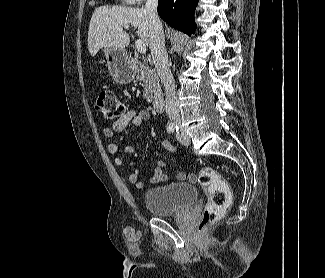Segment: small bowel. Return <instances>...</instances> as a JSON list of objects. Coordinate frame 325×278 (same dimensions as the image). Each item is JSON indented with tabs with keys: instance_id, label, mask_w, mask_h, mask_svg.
<instances>
[{
	"instance_id": "1",
	"label": "small bowel",
	"mask_w": 325,
	"mask_h": 278,
	"mask_svg": "<svg viewBox=\"0 0 325 278\" xmlns=\"http://www.w3.org/2000/svg\"><path fill=\"white\" fill-rule=\"evenodd\" d=\"M150 119V113L147 110H129L123 117L118 119L111 128H104L103 135L106 138H113L115 135L123 134L129 124L134 126H139L142 123ZM164 147L176 151V149L167 143H164ZM108 152L114 155L113 162L117 166H122L124 163L123 158L119 155L120 150L117 144L110 143L107 146ZM126 154L130 157V166L132 168L128 175V180L130 183L134 184L136 188H143V183L139 180V163L140 157L137 151L129 146L125 149ZM165 162L163 160H158L154 166L153 174L150 178L152 184H160L168 180V176L164 173ZM178 179H184L186 176L182 173L177 175Z\"/></svg>"
}]
</instances>
